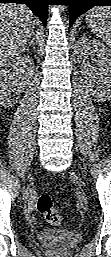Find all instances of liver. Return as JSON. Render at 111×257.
Instances as JSON below:
<instances>
[{
	"label": "liver",
	"mask_w": 111,
	"mask_h": 257,
	"mask_svg": "<svg viewBox=\"0 0 111 257\" xmlns=\"http://www.w3.org/2000/svg\"><path fill=\"white\" fill-rule=\"evenodd\" d=\"M37 23L35 15L22 4L2 3L0 5V64L11 63L23 52Z\"/></svg>",
	"instance_id": "6515ba94"
}]
</instances>
